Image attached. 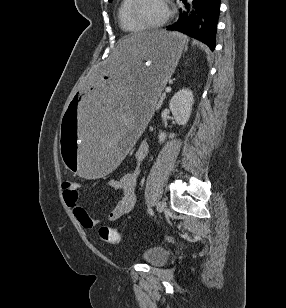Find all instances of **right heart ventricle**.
I'll return each mask as SVG.
<instances>
[{"mask_svg": "<svg viewBox=\"0 0 286 308\" xmlns=\"http://www.w3.org/2000/svg\"><path fill=\"white\" fill-rule=\"evenodd\" d=\"M132 0H121L117 10L118 24L122 31L129 34H136L144 29L138 26L130 18L129 9L131 6Z\"/></svg>", "mask_w": 286, "mask_h": 308, "instance_id": "e07e8e85", "label": "right heart ventricle"}]
</instances>
